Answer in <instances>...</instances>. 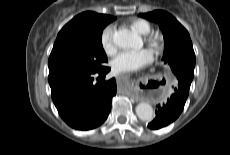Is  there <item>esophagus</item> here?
I'll list each match as a JSON object with an SVG mask.
<instances>
[{
    "mask_svg": "<svg viewBox=\"0 0 230 155\" xmlns=\"http://www.w3.org/2000/svg\"><path fill=\"white\" fill-rule=\"evenodd\" d=\"M119 79H122V80H124V76H120V77H119Z\"/></svg>",
    "mask_w": 230,
    "mask_h": 155,
    "instance_id": "esophagus-1",
    "label": "esophagus"
}]
</instances>
